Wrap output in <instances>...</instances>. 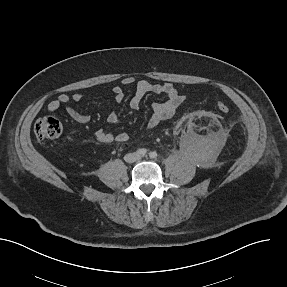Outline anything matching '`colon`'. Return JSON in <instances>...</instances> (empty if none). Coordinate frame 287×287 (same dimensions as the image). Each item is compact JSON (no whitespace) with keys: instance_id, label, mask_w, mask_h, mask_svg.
Instances as JSON below:
<instances>
[{"instance_id":"colon-1","label":"colon","mask_w":287,"mask_h":287,"mask_svg":"<svg viewBox=\"0 0 287 287\" xmlns=\"http://www.w3.org/2000/svg\"><path fill=\"white\" fill-rule=\"evenodd\" d=\"M217 110L220 113H227L229 112L230 108L228 104L224 102H219L217 104ZM33 130L38 140H53L61 135L63 126L62 123L56 117L45 116L35 121Z\"/></svg>"}]
</instances>
